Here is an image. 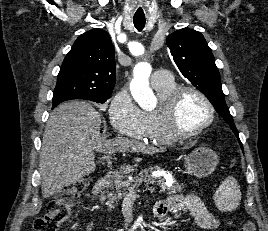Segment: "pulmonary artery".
<instances>
[{
    "label": "pulmonary artery",
    "instance_id": "pulmonary-artery-1",
    "mask_svg": "<svg viewBox=\"0 0 268 231\" xmlns=\"http://www.w3.org/2000/svg\"><path fill=\"white\" fill-rule=\"evenodd\" d=\"M151 84L152 86L158 85L160 83H164L170 81V73L166 69H160L155 71L151 76Z\"/></svg>",
    "mask_w": 268,
    "mask_h": 231
}]
</instances>
